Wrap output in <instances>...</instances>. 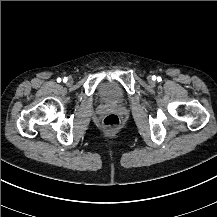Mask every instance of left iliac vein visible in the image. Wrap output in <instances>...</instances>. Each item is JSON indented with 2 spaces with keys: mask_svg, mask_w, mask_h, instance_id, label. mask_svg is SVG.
Wrapping results in <instances>:
<instances>
[{
  "mask_svg": "<svg viewBox=\"0 0 217 217\" xmlns=\"http://www.w3.org/2000/svg\"><path fill=\"white\" fill-rule=\"evenodd\" d=\"M149 83L152 84V85L155 83V81H154V79L152 77L149 78Z\"/></svg>",
  "mask_w": 217,
  "mask_h": 217,
  "instance_id": "left-iliac-vein-1",
  "label": "left iliac vein"
}]
</instances>
